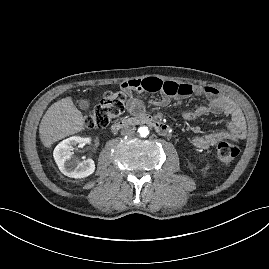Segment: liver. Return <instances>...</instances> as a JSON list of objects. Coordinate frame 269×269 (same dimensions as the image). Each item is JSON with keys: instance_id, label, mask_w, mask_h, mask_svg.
<instances>
[{"instance_id": "1", "label": "liver", "mask_w": 269, "mask_h": 269, "mask_svg": "<svg viewBox=\"0 0 269 269\" xmlns=\"http://www.w3.org/2000/svg\"><path fill=\"white\" fill-rule=\"evenodd\" d=\"M84 124L85 118L75 107L72 98H63L52 104L44 114L39 126L40 140L45 147H49L56 141L82 131Z\"/></svg>"}]
</instances>
